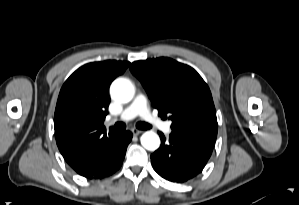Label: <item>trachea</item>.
Wrapping results in <instances>:
<instances>
[{
    "label": "trachea",
    "instance_id": "3493384b",
    "mask_svg": "<svg viewBox=\"0 0 299 205\" xmlns=\"http://www.w3.org/2000/svg\"><path fill=\"white\" fill-rule=\"evenodd\" d=\"M136 127L138 129H141V130H147V129L152 128L151 125H149V124H147L145 122H138V123H136ZM110 128L114 129L116 132H123L125 130V128H126V125L123 122H118L114 126H111Z\"/></svg>",
    "mask_w": 299,
    "mask_h": 205
}]
</instances>
